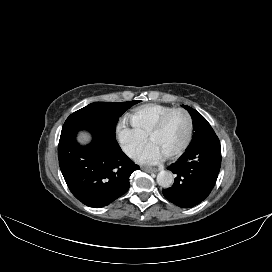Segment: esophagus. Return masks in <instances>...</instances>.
Wrapping results in <instances>:
<instances>
[{"label":"esophagus","mask_w":272,"mask_h":272,"mask_svg":"<svg viewBox=\"0 0 272 272\" xmlns=\"http://www.w3.org/2000/svg\"><path fill=\"white\" fill-rule=\"evenodd\" d=\"M144 171L148 172V173H156L158 171H160V169H157V168H150V167H144L142 168Z\"/></svg>","instance_id":"1"}]
</instances>
